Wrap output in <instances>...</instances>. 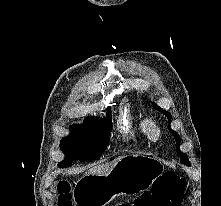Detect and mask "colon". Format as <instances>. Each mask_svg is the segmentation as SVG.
Masks as SVG:
<instances>
[{
  "mask_svg": "<svg viewBox=\"0 0 221 206\" xmlns=\"http://www.w3.org/2000/svg\"><path fill=\"white\" fill-rule=\"evenodd\" d=\"M185 185L172 173H166L154 182L151 190L144 192L132 204L122 203L118 206H179ZM57 192V206H73L71 187L67 181L58 183Z\"/></svg>",
  "mask_w": 221,
  "mask_h": 206,
  "instance_id": "obj_1",
  "label": "colon"
}]
</instances>
